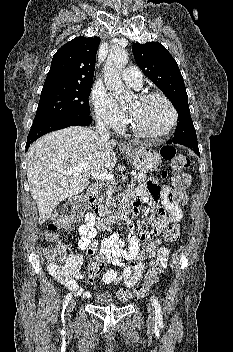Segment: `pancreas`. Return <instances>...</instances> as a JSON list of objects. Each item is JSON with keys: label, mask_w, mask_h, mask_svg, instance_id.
Masks as SVG:
<instances>
[{"label": "pancreas", "mask_w": 233, "mask_h": 352, "mask_svg": "<svg viewBox=\"0 0 233 352\" xmlns=\"http://www.w3.org/2000/svg\"><path fill=\"white\" fill-rule=\"evenodd\" d=\"M146 180V175L145 174H138L132 178V182L134 183H143ZM114 193L113 185H108L106 188V192L100 196L99 201L105 204H108L112 200V195Z\"/></svg>", "instance_id": "cf45deb5"}]
</instances>
